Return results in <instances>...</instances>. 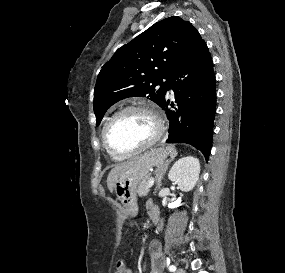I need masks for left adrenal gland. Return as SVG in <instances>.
Instances as JSON below:
<instances>
[{
  "instance_id": "obj_1",
  "label": "left adrenal gland",
  "mask_w": 285,
  "mask_h": 273,
  "mask_svg": "<svg viewBox=\"0 0 285 273\" xmlns=\"http://www.w3.org/2000/svg\"><path fill=\"white\" fill-rule=\"evenodd\" d=\"M173 160H166V162L164 164H162L161 166H159L155 172L156 176V184H157V188L160 189L161 187V181L163 179L164 174L166 173V170L168 168V165L170 164V162Z\"/></svg>"
}]
</instances>
